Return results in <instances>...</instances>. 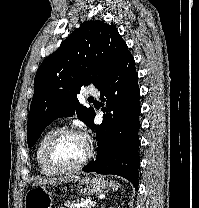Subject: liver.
Returning <instances> with one entry per match:
<instances>
[{"mask_svg": "<svg viewBox=\"0 0 199 208\" xmlns=\"http://www.w3.org/2000/svg\"><path fill=\"white\" fill-rule=\"evenodd\" d=\"M79 177L76 175L68 176V177H60V178H41L35 181L33 186L37 185H56L61 183H68L72 181H78Z\"/></svg>", "mask_w": 199, "mask_h": 208, "instance_id": "1", "label": "liver"}]
</instances>
